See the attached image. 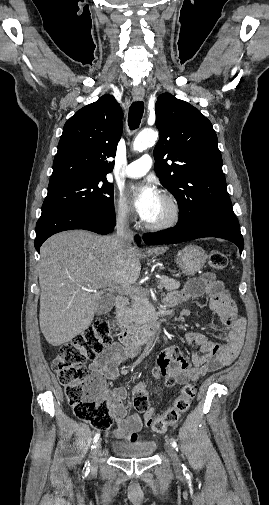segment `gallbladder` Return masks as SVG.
Returning <instances> with one entry per match:
<instances>
[{
  "label": "gallbladder",
  "mask_w": 269,
  "mask_h": 505,
  "mask_svg": "<svg viewBox=\"0 0 269 505\" xmlns=\"http://www.w3.org/2000/svg\"><path fill=\"white\" fill-rule=\"evenodd\" d=\"M113 305H114V301H113L112 297H108V296L103 297L98 302L96 314L97 315L107 314L109 311H111V309L113 308Z\"/></svg>",
  "instance_id": "bac80fb5"
}]
</instances>
